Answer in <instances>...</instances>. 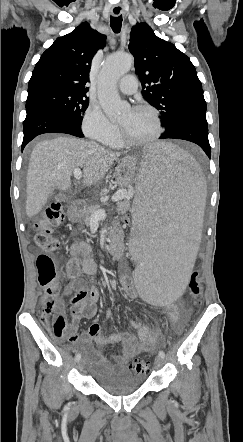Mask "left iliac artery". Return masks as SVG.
Masks as SVG:
<instances>
[{"label": "left iliac artery", "mask_w": 243, "mask_h": 442, "mask_svg": "<svg viewBox=\"0 0 243 442\" xmlns=\"http://www.w3.org/2000/svg\"><path fill=\"white\" fill-rule=\"evenodd\" d=\"M159 356H160V357H162V358H164V357H165V352H164V351H162V350H161V351H159Z\"/></svg>", "instance_id": "44dca946"}]
</instances>
